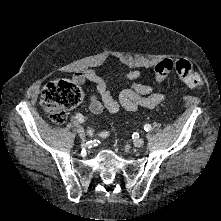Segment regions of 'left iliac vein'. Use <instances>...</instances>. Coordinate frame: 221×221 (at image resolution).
I'll list each match as a JSON object with an SVG mask.
<instances>
[{
    "label": "left iliac vein",
    "mask_w": 221,
    "mask_h": 221,
    "mask_svg": "<svg viewBox=\"0 0 221 221\" xmlns=\"http://www.w3.org/2000/svg\"><path fill=\"white\" fill-rule=\"evenodd\" d=\"M144 144V140L142 138H139V139H135L133 141V145L136 147V148H140L142 147Z\"/></svg>",
    "instance_id": "left-iliac-vein-1"
}]
</instances>
